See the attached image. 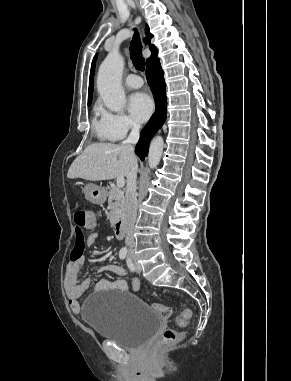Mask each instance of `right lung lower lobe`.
Segmentation results:
<instances>
[{
  "mask_svg": "<svg viewBox=\"0 0 291 381\" xmlns=\"http://www.w3.org/2000/svg\"><path fill=\"white\" fill-rule=\"evenodd\" d=\"M146 77L154 96L156 110L148 124L141 131L139 142L136 145L135 153L141 160H144L148 155L149 142L162 127L167 115L166 84L159 59L147 65Z\"/></svg>",
  "mask_w": 291,
  "mask_h": 381,
  "instance_id": "1",
  "label": "right lung lower lobe"
}]
</instances>
